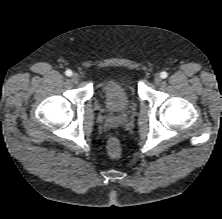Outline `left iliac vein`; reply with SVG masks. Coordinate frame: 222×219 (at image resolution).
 Listing matches in <instances>:
<instances>
[{"label": "left iliac vein", "mask_w": 222, "mask_h": 219, "mask_svg": "<svg viewBox=\"0 0 222 219\" xmlns=\"http://www.w3.org/2000/svg\"><path fill=\"white\" fill-rule=\"evenodd\" d=\"M161 82H162L161 76H160L159 74L155 75V77H154V83L157 84V85H159V84H161Z\"/></svg>", "instance_id": "1"}]
</instances>
